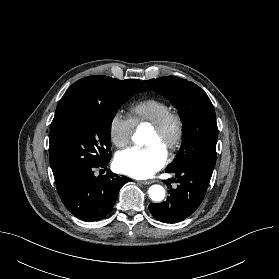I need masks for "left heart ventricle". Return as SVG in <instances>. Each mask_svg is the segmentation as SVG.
Segmentation results:
<instances>
[{"label":"left heart ventricle","instance_id":"1","mask_svg":"<svg viewBox=\"0 0 279 279\" xmlns=\"http://www.w3.org/2000/svg\"><path fill=\"white\" fill-rule=\"evenodd\" d=\"M173 138H174L173 129H170L167 133L162 135L152 130L147 138L146 145L147 146L157 145L167 152L170 144L173 141Z\"/></svg>","mask_w":279,"mask_h":279}]
</instances>
